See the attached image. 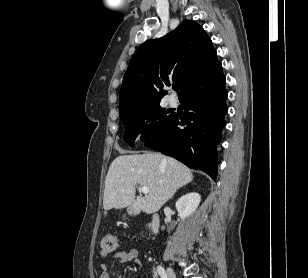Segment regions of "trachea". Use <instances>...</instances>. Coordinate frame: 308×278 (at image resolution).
<instances>
[{
	"mask_svg": "<svg viewBox=\"0 0 308 278\" xmlns=\"http://www.w3.org/2000/svg\"><path fill=\"white\" fill-rule=\"evenodd\" d=\"M173 89H174L175 91H179L180 86H179V85H174V86H173Z\"/></svg>",
	"mask_w": 308,
	"mask_h": 278,
	"instance_id": "1",
	"label": "trachea"
}]
</instances>
